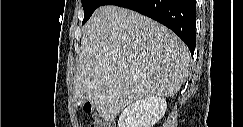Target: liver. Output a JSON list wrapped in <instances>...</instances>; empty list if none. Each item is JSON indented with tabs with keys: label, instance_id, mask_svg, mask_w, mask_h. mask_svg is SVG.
Masks as SVG:
<instances>
[{
	"label": "liver",
	"instance_id": "6515ba94",
	"mask_svg": "<svg viewBox=\"0 0 243 127\" xmlns=\"http://www.w3.org/2000/svg\"><path fill=\"white\" fill-rule=\"evenodd\" d=\"M190 57L165 26L126 8L101 6L84 26L74 98L89 99L111 123L132 102L177 93Z\"/></svg>",
	"mask_w": 243,
	"mask_h": 127
}]
</instances>
